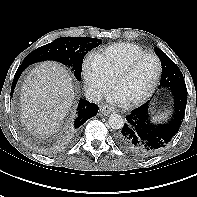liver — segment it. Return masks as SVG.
<instances>
[{
  "instance_id": "6515ba94",
  "label": "liver",
  "mask_w": 197,
  "mask_h": 197,
  "mask_svg": "<svg viewBox=\"0 0 197 197\" xmlns=\"http://www.w3.org/2000/svg\"><path fill=\"white\" fill-rule=\"evenodd\" d=\"M74 98L72 78L67 70L57 62H42L31 70L21 87V120L36 134H53Z\"/></svg>"
}]
</instances>
